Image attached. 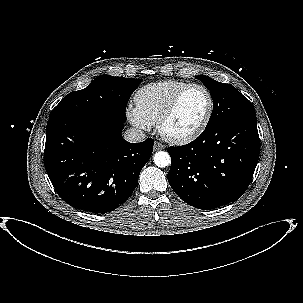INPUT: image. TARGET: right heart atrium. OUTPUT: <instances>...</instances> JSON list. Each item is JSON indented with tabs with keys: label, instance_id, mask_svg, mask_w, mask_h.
Masks as SVG:
<instances>
[{
	"label": "right heart atrium",
	"instance_id": "right-heart-atrium-1",
	"mask_svg": "<svg viewBox=\"0 0 303 303\" xmlns=\"http://www.w3.org/2000/svg\"><path fill=\"white\" fill-rule=\"evenodd\" d=\"M126 116L129 122L139 131H147L151 128V123L139 112L136 106L129 105L126 108Z\"/></svg>",
	"mask_w": 303,
	"mask_h": 303
}]
</instances>
